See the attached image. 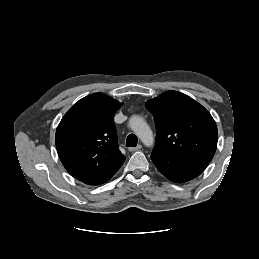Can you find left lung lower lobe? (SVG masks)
I'll list each match as a JSON object with an SVG mask.
<instances>
[{"instance_id": "obj_1", "label": "left lung lower lobe", "mask_w": 259, "mask_h": 259, "mask_svg": "<svg viewBox=\"0 0 259 259\" xmlns=\"http://www.w3.org/2000/svg\"><path fill=\"white\" fill-rule=\"evenodd\" d=\"M151 159L165 177L176 183H184L194 179L209 164L205 160L174 158L155 150L152 151Z\"/></svg>"}]
</instances>
